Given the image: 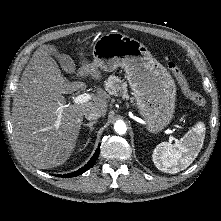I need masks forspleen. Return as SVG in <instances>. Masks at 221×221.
<instances>
[{
	"instance_id": "obj_1",
	"label": "spleen",
	"mask_w": 221,
	"mask_h": 221,
	"mask_svg": "<svg viewBox=\"0 0 221 221\" xmlns=\"http://www.w3.org/2000/svg\"><path fill=\"white\" fill-rule=\"evenodd\" d=\"M205 130V124L198 122L178 143L162 142L157 145L152 155L155 166L171 174L186 169L203 146Z\"/></svg>"
}]
</instances>
